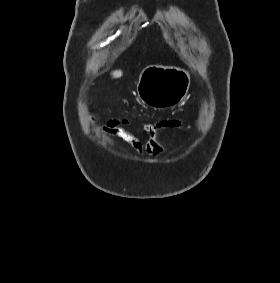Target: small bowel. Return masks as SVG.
I'll return each instance as SVG.
<instances>
[{"instance_id":"1","label":"small bowel","mask_w":280,"mask_h":283,"mask_svg":"<svg viewBox=\"0 0 280 283\" xmlns=\"http://www.w3.org/2000/svg\"><path fill=\"white\" fill-rule=\"evenodd\" d=\"M184 123L180 119L170 118L148 125L145 128L146 140L142 141L133 131H131L126 122L109 121L101 129V133L118 137L131 145L139 154L150 156H159L163 153V147L158 141V132L161 129L173 128L183 129Z\"/></svg>"}]
</instances>
